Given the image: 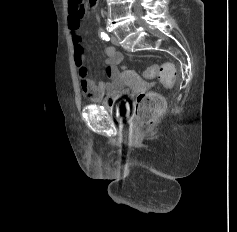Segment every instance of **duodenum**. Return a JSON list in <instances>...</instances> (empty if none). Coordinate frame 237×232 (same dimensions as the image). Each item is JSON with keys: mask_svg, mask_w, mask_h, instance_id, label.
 Instances as JSON below:
<instances>
[{"mask_svg": "<svg viewBox=\"0 0 237 232\" xmlns=\"http://www.w3.org/2000/svg\"><path fill=\"white\" fill-rule=\"evenodd\" d=\"M90 5L94 6L96 4V0H89Z\"/></svg>", "mask_w": 237, "mask_h": 232, "instance_id": "1", "label": "duodenum"}]
</instances>
